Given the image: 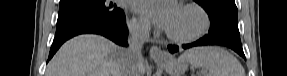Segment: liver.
Masks as SVG:
<instances>
[{
	"mask_svg": "<svg viewBox=\"0 0 287 76\" xmlns=\"http://www.w3.org/2000/svg\"><path fill=\"white\" fill-rule=\"evenodd\" d=\"M124 49L93 34L64 43L47 66L46 76H121ZM143 66L139 74H144Z\"/></svg>",
	"mask_w": 287,
	"mask_h": 76,
	"instance_id": "1",
	"label": "liver"
}]
</instances>
